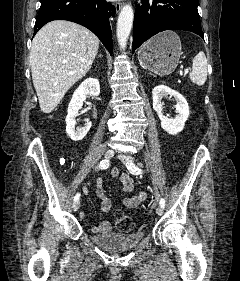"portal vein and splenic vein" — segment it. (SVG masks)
<instances>
[{
  "mask_svg": "<svg viewBox=\"0 0 240 281\" xmlns=\"http://www.w3.org/2000/svg\"><path fill=\"white\" fill-rule=\"evenodd\" d=\"M187 73H188V69H185L184 71H180V75L184 77L187 75Z\"/></svg>",
  "mask_w": 240,
  "mask_h": 281,
  "instance_id": "obj_1",
  "label": "portal vein and splenic vein"
}]
</instances>
